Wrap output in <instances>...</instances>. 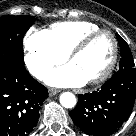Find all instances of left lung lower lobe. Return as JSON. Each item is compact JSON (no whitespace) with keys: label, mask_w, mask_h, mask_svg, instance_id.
I'll list each match as a JSON object with an SVG mask.
<instances>
[{"label":"left lung lower lobe","mask_w":136,"mask_h":136,"mask_svg":"<svg viewBox=\"0 0 136 136\" xmlns=\"http://www.w3.org/2000/svg\"><path fill=\"white\" fill-rule=\"evenodd\" d=\"M135 93L136 68L119 70L101 89L80 94L77 106L70 112V116L88 135H111L130 114Z\"/></svg>","instance_id":"obj_1"}]
</instances>
